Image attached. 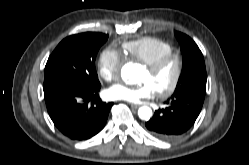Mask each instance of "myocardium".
I'll return each instance as SVG.
<instances>
[{"mask_svg":"<svg viewBox=\"0 0 249 165\" xmlns=\"http://www.w3.org/2000/svg\"><path fill=\"white\" fill-rule=\"evenodd\" d=\"M170 64L172 65V73L169 81L165 86L155 89V92L159 97L169 96L175 91L182 73V57L178 52L170 51L157 58L155 61L148 64H144V68L151 75L159 74L166 66Z\"/></svg>","mask_w":249,"mask_h":165,"instance_id":"f54148a6","label":"myocardium"}]
</instances>
